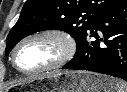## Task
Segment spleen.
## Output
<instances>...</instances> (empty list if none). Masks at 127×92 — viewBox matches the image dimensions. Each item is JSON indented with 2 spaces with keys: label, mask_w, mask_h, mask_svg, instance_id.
Segmentation results:
<instances>
[{
  "label": "spleen",
  "mask_w": 127,
  "mask_h": 92,
  "mask_svg": "<svg viewBox=\"0 0 127 92\" xmlns=\"http://www.w3.org/2000/svg\"><path fill=\"white\" fill-rule=\"evenodd\" d=\"M116 91L117 92H127V83H124L122 81H118L116 83Z\"/></svg>",
  "instance_id": "3e777b00"
}]
</instances>
